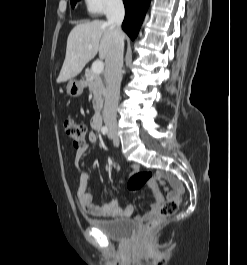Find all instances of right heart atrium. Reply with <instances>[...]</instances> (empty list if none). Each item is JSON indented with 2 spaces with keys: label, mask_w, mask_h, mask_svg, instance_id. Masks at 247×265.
I'll return each instance as SVG.
<instances>
[{
  "label": "right heart atrium",
  "mask_w": 247,
  "mask_h": 265,
  "mask_svg": "<svg viewBox=\"0 0 247 265\" xmlns=\"http://www.w3.org/2000/svg\"><path fill=\"white\" fill-rule=\"evenodd\" d=\"M122 0H85L87 10L93 14H104L117 10Z\"/></svg>",
  "instance_id": "obj_1"
}]
</instances>
